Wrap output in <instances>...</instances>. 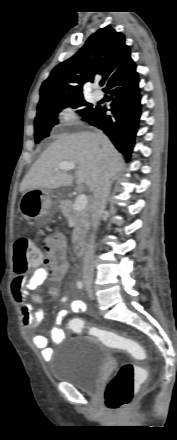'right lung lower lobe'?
Here are the masks:
<instances>
[{
  "instance_id": "obj_1",
  "label": "right lung lower lobe",
  "mask_w": 177,
  "mask_h": 440,
  "mask_svg": "<svg viewBox=\"0 0 177 440\" xmlns=\"http://www.w3.org/2000/svg\"><path fill=\"white\" fill-rule=\"evenodd\" d=\"M106 90L111 95L112 115H106L105 107L97 106L84 120L102 129L126 159H130L141 116L136 65L112 81Z\"/></svg>"
}]
</instances>
